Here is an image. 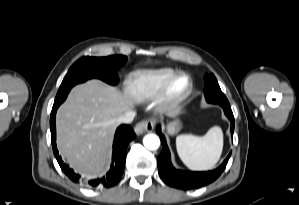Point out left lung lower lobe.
I'll list each match as a JSON object with an SVG mask.
<instances>
[{
	"label": "left lung lower lobe",
	"instance_id": "obj_1",
	"mask_svg": "<svg viewBox=\"0 0 299 205\" xmlns=\"http://www.w3.org/2000/svg\"><path fill=\"white\" fill-rule=\"evenodd\" d=\"M214 104H219L223 108L225 115L231 121V134L233 135L234 116L228 100L217 102ZM156 131L159 134L160 139L162 141V152L158 157L159 176L165 184L183 190L197 189L207 184H210L211 182L216 180L225 169L226 164L230 158L231 152L228 155V157L224 160V162L217 169L212 171L191 172L176 170L171 164L170 151L168 149L166 139L164 135L161 133V127L157 126Z\"/></svg>",
	"mask_w": 299,
	"mask_h": 205
}]
</instances>
